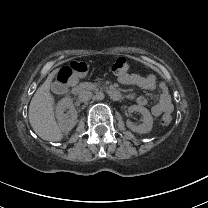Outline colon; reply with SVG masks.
Instances as JSON below:
<instances>
[{
	"label": "colon",
	"mask_w": 208,
	"mask_h": 208,
	"mask_svg": "<svg viewBox=\"0 0 208 208\" xmlns=\"http://www.w3.org/2000/svg\"><path fill=\"white\" fill-rule=\"evenodd\" d=\"M133 66L129 59L119 57L111 66V72L117 76L124 75L132 70ZM72 72L85 73L87 71V64L84 61H73L70 64ZM172 117L170 114L165 113L159 119V124L163 127L171 125Z\"/></svg>",
	"instance_id": "5ec220e1"
}]
</instances>
